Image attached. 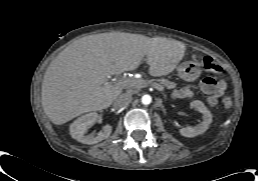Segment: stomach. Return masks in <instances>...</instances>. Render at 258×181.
<instances>
[{
  "instance_id": "obj_1",
  "label": "stomach",
  "mask_w": 258,
  "mask_h": 181,
  "mask_svg": "<svg viewBox=\"0 0 258 181\" xmlns=\"http://www.w3.org/2000/svg\"><path fill=\"white\" fill-rule=\"evenodd\" d=\"M178 74L184 80H193L200 74V65L195 61H185L177 67Z\"/></svg>"
}]
</instances>
